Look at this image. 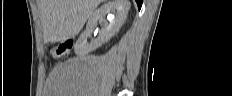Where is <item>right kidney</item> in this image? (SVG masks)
Instances as JSON below:
<instances>
[{"instance_id":"1","label":"right kidney","mask_w":232,"mask_h":96,"mask_svg":"<svg viewBox=\"0 0 232 96\" xmlns=\"http://www.w3.org/2000/svg\"><path fill=\"white\" fill-rule=\"evenodd\" d=\"M129 9L130 3L128 0H110L108 3L94 11L89 17L86 30L80 35L75 44L76 54L80 57H85L90 52L108 42L120 30L127 17ZM112 12L115 14H111ZM106 15H108L110 23L105 24L95 40L87 43V38L93 32L98 20L104 19Z\"/></svg>"}]
</instances>
